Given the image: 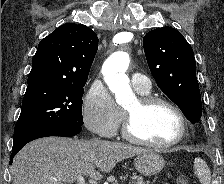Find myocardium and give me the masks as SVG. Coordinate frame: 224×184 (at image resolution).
I'll use <instances>...</instances> for the list:
<instances>
[{"label": "myocardium", "mask_w": 224, "mask_h": 184, "mask_svg": "<svg viewBox=\"0 0 224 184\" xmlns=\"http://www.w3.org/2000/svg\"><path fill=\"white\" fill-rule=\"evenodd\" d=\"M157 104H163L169 107L177 115L180 124V130L178 135L173 140L163 144L148 141L140 137L135 130L136 112L126 109L124 111V123L122 131L124 137L127 140H129L132 143L140 144L152 149L165 150L177 145L185 138L188 131L187 119L183 111L173 101H171L168 98L155 95H141L137 98L138 111H145Z\"/></svg>", "instance_id": "myocardium-1"}]
</instances>
